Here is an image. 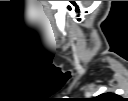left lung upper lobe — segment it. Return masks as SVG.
<instances>
[{"label": "left lung upper lobe", "instance_id": "5c2ea615", "mask_svg": "<svg viewBox=\"0 0 128 101\" xmlns=\"http://www.w3.org/2000/svg\"><path fill=\"white\" fill-rule=\"evenodd\" d=\"M99 100H102V99H108L110 101L114 100V99H117V95L115 94H112V93H105V94H101L99 97H98Z\"/></svg>", "mask_w": 128, "mask_h": 101}]
</instances>
